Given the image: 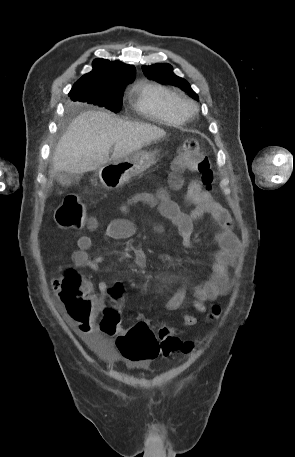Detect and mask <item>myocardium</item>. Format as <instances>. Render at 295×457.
Returning a JSON list of instances; mask_svg holds the SVG:
<instances>
[{"label":"myocardium","instance_id":"obj_1","mask_svg":"<svg viewBox=\"0 0 295 457\" xmlns=\"http://www.w3.org/2000/svg\"><path fill=\"white\" fill-rule=\"evenodd\" d=\"M175 109L184 119H186L195 113L196 104L189 98L178 96L175 101Z\"/></svg>","mask_w":295,"mask_h":457}]
</instances>
